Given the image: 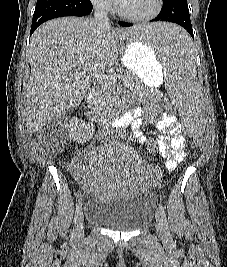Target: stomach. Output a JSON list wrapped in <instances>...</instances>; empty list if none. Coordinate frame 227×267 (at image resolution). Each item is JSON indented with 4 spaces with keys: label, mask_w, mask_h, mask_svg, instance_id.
I'll return each mask as SVG.
<instances>
[{
    "label": "stomach",
    "mask_w": 227,
    "mask_h": 267,
    "mask_svg": "<svg viewBox=\"0 0 227 267\" xmlns=\"http://www.w3.org/2000/svg\"><path fill=\"white\" fill-rule=\"evenodd\" d=\"M122 61L146 86L155 87L163 80L164 59H156L153 47H145V43L126 42Z\"/></svg>",
    "instance_id": "1"
}]
</instances>
